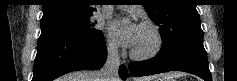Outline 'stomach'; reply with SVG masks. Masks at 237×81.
<instances>
[{
	"label": "stomach",
	"instance_id": "stomach-1",
	"mask_svg": "<svg viewBox=\"0 0 237 81\" xmlns=\"http://www.w3.org/2000/svg\"><path fill=\"white\" fill-rule=\"evenodd\" d=\"M156 81H165V80H163V79H157Z\"/></svg>",
	"mask_w": 237,
	"mask_h": 81
}]
</instances>
